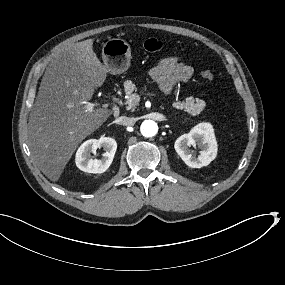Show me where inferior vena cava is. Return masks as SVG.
<instances>
[{
  "label": "inferior vena cava",
  "instance_id": "1",
  "mask_svg": "<svg viewBox=\"0 0 285 285\" xmlns=\"http://www.w3.org/2000/svg\"><path fill=\"white\" fill-rule=\"evenodd\" d=\"M135 118L123 116L120 118V123L125 126H133L135 124Z\"/></svg>",
  "mask_w": 285,
  "mask_h": 285
}]
</instances>
